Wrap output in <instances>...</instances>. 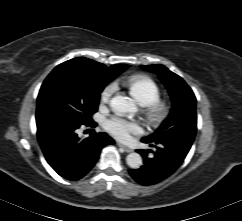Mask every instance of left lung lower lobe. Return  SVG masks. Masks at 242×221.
<instances>
[{"label":"left lung lower lobe","mask_w":242,"mask_h":221,"mask_svg":"<svg viewBox=\"0 0 242 221\" xmlns=\"http://www.w3.org/2000/svg\"><path fill=\"white\" fill-rule=\"evenodd\" d=\"M142 142L150 143L156 151L137 150L143 157L144 165L139 169H130L129 173L141 185H154L172 175L183 163L192 145L178 140Z\"/></svg>","instance_id":"1"}]
</instances>
